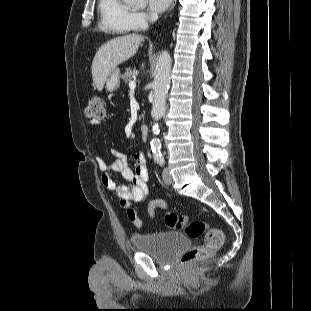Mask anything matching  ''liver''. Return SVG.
<instances>
[{
  "label": "liver",
  "mask_w": 311,
  "mask_h": 311,
  "mask_svg": "<svg viewBox=\"0 0 311 311\" xmlns=\"http://www.w3.org/2000/svg\"><path fill=\"white\" fill-rule=\"evenodd\" d=\"M142 41L144 36L129 34L116 37L99 48L91 67L93 82L99 91H102L111 72L137 53Z\"/></svg>",
  "instance_id": "obj_1"
}]
</instances>
